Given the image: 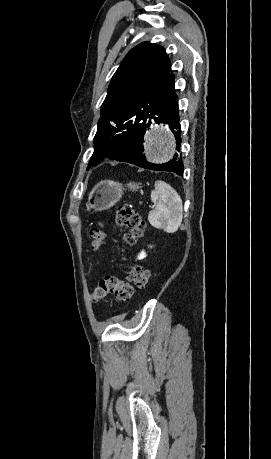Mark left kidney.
Segmentation results:
<instances>
[{
    "label": "left kidney",
    "mask_w": 271,
    "mask_h": 459,
    "mask_svg": "<svg viewBox=\"0 0 271 459\" xmlns=\"http://www.w3.org/2000/svg\"><path fill=\"white\" fill-rule=\"evenodd\" d=\"M143 257H146L145 251H141V253H139L138 259H143Z\"/></svg>",
    "instance_id": "5707ae66"
}]
</instances>
